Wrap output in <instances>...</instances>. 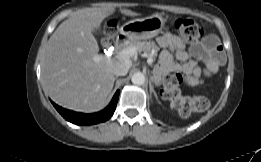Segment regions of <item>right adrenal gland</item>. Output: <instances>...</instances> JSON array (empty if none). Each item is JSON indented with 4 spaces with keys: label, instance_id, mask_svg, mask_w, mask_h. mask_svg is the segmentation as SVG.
Instances as JSON below:
<instances>
[{
    "label": "right adrenal gland",
    "instance_id": "1",
    "mask_svg": "<svg viewBox=\"0 0 261 162\" xmlns=\"http://www.w3.org/2000/svg\"><path fill=\"white\" fill-rule=\"evenodd\" d=\"M117 79H118V76H116V77L114 78V81L117 80Z\"/></svg>",
    "mask_w": 261,
    "mask_h": 162
}]
</instances>
